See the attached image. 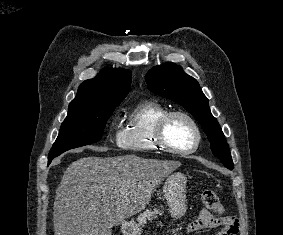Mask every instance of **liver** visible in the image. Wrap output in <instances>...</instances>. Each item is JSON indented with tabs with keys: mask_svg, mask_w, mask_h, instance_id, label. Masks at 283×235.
Instances as JSON below:
<instances>
[{
	"mask_svg": "<svg viewBox=\"0 0 283 235\" xmlns=\"http://www.w3.org/2000/svg\"><path fill=\"white\" fill-rule=\"evenodd\" d=\"M180 166L134 154L72 162L56 191L54 235H111V228L142 211Z\"/></svg>",
	"mask_w": 283,
	"mask_h": 235,
	"instance_id": "obj_1",
	"label": "liver"
}]
</instances>
